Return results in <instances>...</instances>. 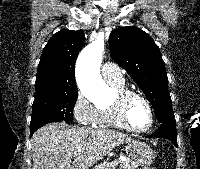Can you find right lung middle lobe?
<instances>
[{"mask_svg": "<svg viewBox=\"0 0 200 169\" xmlns=\"http://www.w3.org/2000/svg\"><path fill=\"white\" fill-rule=\"evenodd\" d=\"M78 97L77 87L36 91L30 128L51 122H69Z\"/></svg>", "mask_w": 200, "mask_h": 169, "instance_id": "obj_1", "label": "right lung middle lobe"}]
</instances>
